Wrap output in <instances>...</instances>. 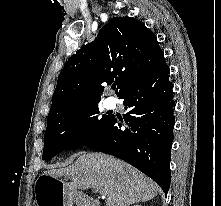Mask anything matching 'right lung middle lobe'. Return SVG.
I'll use <instances>...</instances> for the list:
<instances>
[{
  "label": "right lung middle lobe",
  "instance_id": "obj_1",
  "mask_svg": "<svg viewBox=\"0 0 221 206\" xmlns=\"http://www.w3.org/2000/svg\"><path fill=\"white\" fill-rule=\"evenodd\" d=\"M98 113V103H86L48 115L43 159L49 160L64 150L82 147L90 141L112 117L99 118Z\"/></svg>",
  "mask_w": 221,
  "mask_h": 206
}]
</instances>
